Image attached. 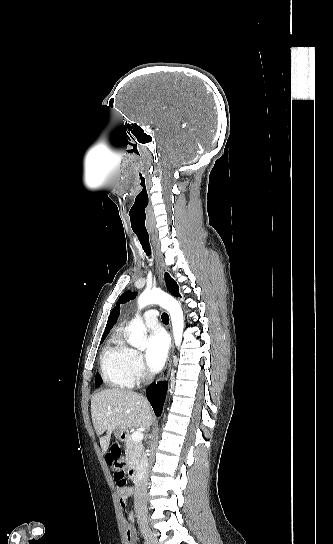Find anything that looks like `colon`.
<instances>
[{
  "mask_svg": "<svg viewBox=\"0 0 333 544\" xmlns=\"http://www.w3.org/2000/svg\"><path fill=\"white\" fill-rule=\"evenodd\" d=\"M106 462L113 466L114 481L119 487H125L127 479L123 470L124 458L122 456L121 448L118 445H113L110 451L106 455Z\"/></svg>",
  "mask_w": 333,
  "mask_h": 544,
  "instance_id": "obj_1",
  "label": "colon"
}]
</instances>
